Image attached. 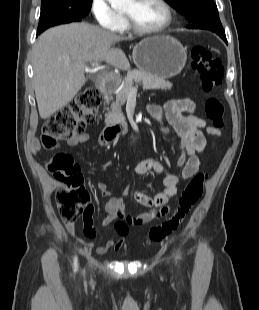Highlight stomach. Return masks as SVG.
Wrapping results in <instances>:
<instances>
[{
	"label": "stomach",
	"mask_w": 259,
	"mask_h": 310,
	"mask_svg": "<svg viewBox=\"0 0 259 310\" xmlns=\"http://www.w3.org/2000/svg\"><path fill=\"white\" fill-rule=\"evenodd\" d=\"M132 58L140 71L169 79L182 71L187 54L183 45L174 37L158 35L139 42L133 49Z\"/></svg>",
	"instance_id": "stomach-1"
}]
</instances>
